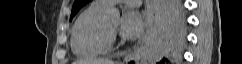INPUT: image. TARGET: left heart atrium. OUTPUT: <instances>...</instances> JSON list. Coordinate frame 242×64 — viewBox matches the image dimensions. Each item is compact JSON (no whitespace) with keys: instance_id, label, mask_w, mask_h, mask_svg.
<instances>
[{"instance_id":"1","label":"left heart atrium","mask_w":242,"mask_h":64,"mask_svg":"<svg viewBox=\"0 0 242 64\" xmlns=\"http://www.w3.org/2000/svg\"><path fill=\"white\" fill-rule=\"evenodd\" d=\"M144 22L141 14L134 10H127L123 14L120 33L128 39H134L143 32Z\"/></svg>"}]
</instances>
